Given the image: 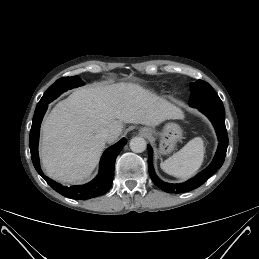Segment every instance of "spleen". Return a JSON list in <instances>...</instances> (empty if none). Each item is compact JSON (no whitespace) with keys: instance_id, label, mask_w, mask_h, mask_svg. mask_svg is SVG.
<instances>
[{"instance_id":"obj_1","label":"spleen","mask_w":259,"mask_h":259,"mask_svg":"<svg viewBox=\"0 0 259 259\" xmlns=\"http://www.w3.org/2000/svg\"><path fill=\"white\" fill-rule=\"evenodd\" d=\"M204 141L201 137L190 140L183 148L161 162V169L174 177L189 178L201 167L204 161Z\"/></svg>"}]
</instances>
